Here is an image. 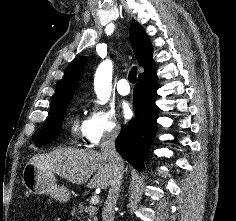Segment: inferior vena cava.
Masks as SVG:
<instances>
[{"label": "inferior vena cava", "mask_w": 236, "mask_h": 221, "mask_svg": "<svg viewBox=\"0 0 236 221\" xmlns=\"http://www.w3.org/2000/svg\"><path fill=\"white\" fill-rule=\"evenodd\" d=\"M119 134V128L115 127L104 132L101 141V153L107 159L112 168V179L107 199L102 211L103 221H114V208L119 196L120 186L124 173V162L115 148V140Z\"/></svg>", "instance_id": "1"}]
</instances>
